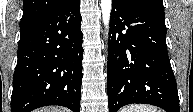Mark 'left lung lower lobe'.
Listing matches in <instances>:
<instances>
[{
	"instance_id": "1",
	"label": "left lung lower lobe",
	"mask_w": 193,
	"mask_h": 112,
	"mask_svg": "<svg viewBox=\"0 0 193 112\" xmlns=\"http://www.w3.org/2000/svg\"><path fill=\"white\" fill-rule=\"evenodd\" d=\"M109 30V112L132 103L179 112L177 85L165 40L164 8L129 9L112 1Z\"/></svg>"
}]
</instances>
